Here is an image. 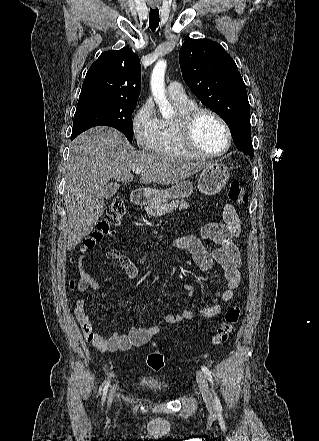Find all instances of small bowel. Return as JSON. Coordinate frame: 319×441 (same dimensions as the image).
<instances>
[{"label": "small bowel", "mask_w": 319, "mask_h": 441, "mask_svg": "<svg viewBox=\"0 0 319 441\" xmlns=\"http://www.w3.org/2000/svg\"><path fill=\"white\" fill-rule=\"evenodd\" d=\"M241 233V222L235 208L231 204H226L223 210L222 223H210L203 227L202 237L213 241L218 247L213 251H208L202 241L192 235L179 237L173 241V245L181 250L189 252L193 261L202 272H209L215 264H218L226 281V289L215 291L213 303L199 311L200 317L211 318L221 313L222 305L230 301L240 284L241 255L235 239ZM108 259L117 260L121 269L131 279L138 274L137 266L125 255L117 250H111L107 254ZM146 257H143V261ZM80 281L79 291L91 289L99 292L97 280L78 267ZM185 291L191 298L194 297L196 289L192 283L183 285ZM74 315L77 323L86 339L101 351H127L134 347H141L147 344L152 337L161 332L159 326H149L131 328L128 333L120 334L114 332L110 337L104 338L93 326L85 300L79 298L76 302ZM195 317L194 313L188 309L182 310L178 314H166L163 322L167 325H174L185 321H190Z\"/></svg>", "instance_id": "c3829d8e"}]
</instances>
